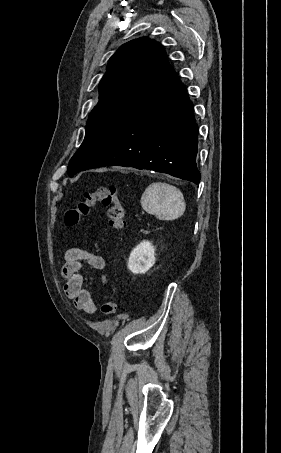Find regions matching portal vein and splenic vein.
<instances>
[{
    "mask_svg": "<svg viewBox=\"0 0 281 453\" xmlns=\"http://www.w3.org/2000/svg\"><path fill=\"white\" fill-rule=\"evenodd\" d=\"M145 212H146L145 210H141V213H140V214H141V215H144Z\"/></svg>",
    "mask_w": 281,
    "mask_h": 453,
    "instance_id": "portal-vein-and-splenic-vein-1",
    "label": "portal vein and splenic vein"
}]
</instances>
